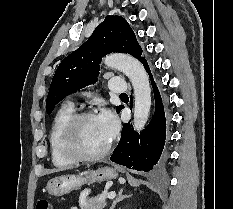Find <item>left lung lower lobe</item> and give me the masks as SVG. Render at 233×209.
<instances>
[{"instance_id": "0a47b994", "label": "left lung lower lobe", "mask_w": 233, "mask_h": 209, "mask_svg": "<svg viewBox=\"0 0 233 209\" xmlns=\"http://www.w3.org/2000/svg\"><path fill=\"white\" fill-rule=\"evenodd\" d=\"M144 65L154 89L155 112L147 128L139 134L134 132L129 123L123 125L121 139L110 160L130 169L150 171L158 163L165 145L166 119L159 90L152 78L144 57Z\"/></svg>"}]
</instances>
